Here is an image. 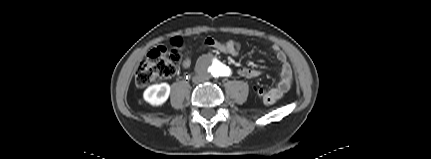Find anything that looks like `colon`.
<instances>
[{
    "instance_id": "obj_1",
    "label": "colon",
    "mask_w": 431,
    "mask_h": 159,
    "mask_svg": "<svg viewBox=\"0 0 431 159\" xmlns=\"http://www.w3.org/2000/svg\"><path fill=\"white\" fill-rule=\"evenodd\" d=\"M174 49H167L159 46L148 52L144 59L139 63L135 72V85L138 88H145L155 80L168 79L176 74L182 62V55L177 49L182 45L180 39L173 40ZM214 48V47H213ZM215 49V48H214ZM218 54L236 56V49H215ZM253 93L257 97L265 95V89L254 87Z\"/></svg>"
}]
</instances>
